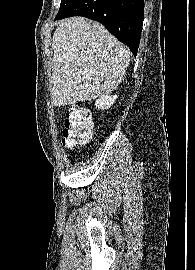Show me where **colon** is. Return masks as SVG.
<instances>
[{
  "instance_id": "1",
  "label": "colon",
  "mask_w": 195,
  "mask_h": 270,
  "mask_svg": "<svg viewBox=\"0 0 195 270\" xmlns=\"http://www.w3.org/2000/svg\"><path fill=\"white\" fill-rule=\"evenodd\" d=\"M93 129L89 111L79 105H72L65 113L62 142L74 147L88 142Z\"/></svg>"
}]
</instances>
